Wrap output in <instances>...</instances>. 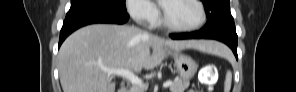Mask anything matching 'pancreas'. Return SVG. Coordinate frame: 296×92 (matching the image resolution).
Here are the masks:
<instances>
[{
  "instance_id": "1",
  "label": "pancreas",
  "mask_w": 296,
  "mask_h": 92,
  "mask_svg": "<svg viewBox=\"0 0 296 92\" xmlns=\"http://www.w3.org/2000/svg\"><path fill=\"white\" fill-rule=\"evenodd\" d=\"M189 87V81H184L181 78L175 79L170 85L171 92H184ZM133 92H143L140 88H135Z\"/></svg>"
}]
</instances>
